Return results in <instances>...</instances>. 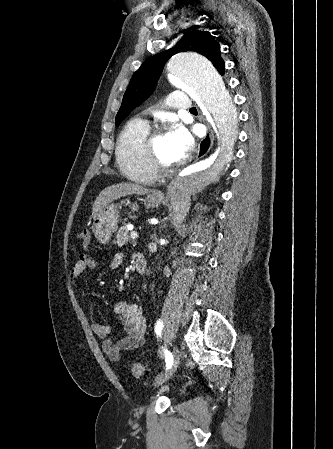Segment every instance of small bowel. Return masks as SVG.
I'll return each instance as SVG.
<instances>
[{
	"label": "small bowel",
	"mask_w": 333,
	"mask_h": 449,
	"mask_svg": "<svg viewBox=\"0 0 333 449\" xmlns=\"http://www.w3.org/2000/svg\"><path fill=\"white\" fill-rule=\"evenodd\" d=\"M121 263L122 255L117 254L112 261V267L117 268ZM94 268L95 264L92 259L80 256L70 271L71 281L78 284L82 275L87 270ZM113 310L124 323V333L117 340L110 337L111 328L107 324L96 322L92 325V330L96 336L102 339V349L107 356L111 360L117 361L123 352L143 345L147 330V318L137 305L127 301H117Z\"/></svg>",
	"instance_id": "obj_1"
}]
</instances>
